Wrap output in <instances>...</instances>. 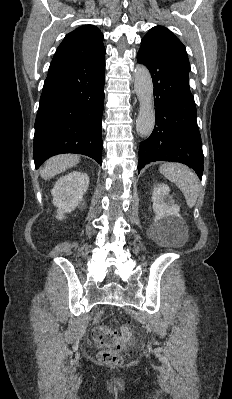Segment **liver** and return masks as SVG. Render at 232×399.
Returning a JSON list of instances; mask_svg holds the SVG:
<instances>
[{"label": "liver", "instance_id": "1", "mask_svg": "<svg viewBox=\"0 0 232 399\" xmlns=\"http://www.w3.org/2000/svg\"><path fill=\"white\" fill-rule=\"evenodd\" d=\"M79 156H74V154H62V156H54L45 162L44 168L40 172L41 178L43 180H49V178H54L57 174L61 172H66L69 168L77 166L79 164Z\"/></svg>", "mask_w": 232, "mask_h": 399}]
</instances>
